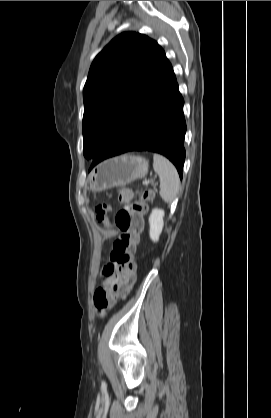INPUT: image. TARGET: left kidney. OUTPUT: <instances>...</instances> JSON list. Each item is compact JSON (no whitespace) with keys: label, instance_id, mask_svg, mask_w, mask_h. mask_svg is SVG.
<instances>
[{"label":"left kidney","instance_id":"left-kidney-1","mask_svg":"<svg viewBox=\"0 0 271 418\" xmlns=\"http://www.w3.org/2000/svg\"><path fill=\"white\" fill-rule=\"evenodd\" d=\"M164 211L162 209H153L150 217H149V235L153 242H157L159 240L160 234L162 233L163 226H164Z\"/></svg>","mask_w":271,"mask_h":418}]
</instances>
